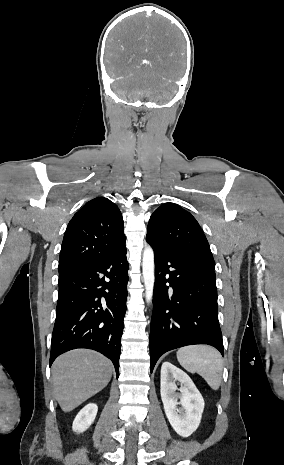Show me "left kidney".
<instances>
[{
  "instance_id": "5707ae66",
  "label": "left kidney",
  "mask_w": 284,
  "mask_h": 465,
  "mask_svg": "<svg viewBox=\"0 0 284 465\" xmlns=\"http://www.w3.org/2000/svg\"><path fill=\"white\" fill-rule=\"evenodd\" d=\"M176 381H179L180 389ZM160 393L171 427L180 437H190L198 429L204 411V399L193 381L181 369L166 361L161 367Z\"/></svg>"
}]
</instances>
